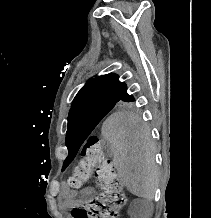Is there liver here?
<instances>
[{"label":"liver","instance_id":"6515ba94","mask_svg":"<svg viewBox=\"0 0 211 218\" xmlns=\"http://www.w3.org/2000/svg\"><path fill=\"white\" fill-rule=\"evenodd\" d=\"M101 134L110 144L114 166L122 184L134 196L152 200L159 184L154 162L155 144L139 114H111L103 122Z\"/></svg>","mask_w":211,"mask_h":218}]
</instances>
